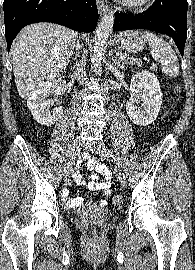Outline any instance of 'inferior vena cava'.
<instances>
[{
  "mask_svg": "<svg viewBox=\"0 0 195 270\" xmlns=\"http://www.w3.org/2000/svg\"><path fill=\"white\" fill-rule=\"evenodd\" d=\"M81 45L77 42L76 50H79ZM76 77L80 81V83H84L86 80V71H85V60L82 59L78 63H76Z\"/></svg>",
  "mask_w": 195,
  "mask_h": 270,
  "instance_id": "602c4592",
  "label": "inferior vena cava"
}]
</instances>
